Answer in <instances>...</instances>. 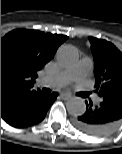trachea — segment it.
<instances>
[{"label":"trachea","mask_w":122,"mask_h":154,"mask_svg":"<svg viewBox=\"0 0 122 154\" xmlns=\"http://www.w3.org/2000/svg\"><path fill=\"white\" fill-rule=\"evenodd\" d=\"M43 92L47 93V94H50L51 90L48 89V88H43Z\"/></svg>","instance_id":"trachea-1"}]
</instances>
